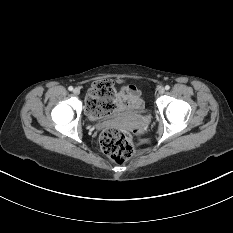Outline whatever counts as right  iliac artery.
Wrapping results in <instances>:
<instances>
[{"instance_id": "right-iliac-artery-1", "label": "right iliac artery", "mask_w": 233, "mask_h": 233, "mask_svg": "<svg viewBox=\"0 0 233 233\" xmlns=\"http://www.w3.org/2000/svg\"><path fill=\"white\" fill-rule=\"evenodd\" d=\"M68 90H69V91H72V90H73V87H72V86H69Z\"/></svg>"}]
</instances>
